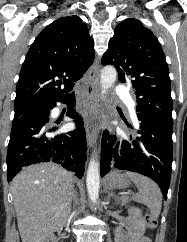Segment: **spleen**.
Masks as SVG:
<instances>
[{
    "label": "spleen",
    "mask_w": 187,
    "mask_h": 242,
    "mask_svg": "<svg viewBox=\"0 0 187 242\" xmlns=\"http://www.w3.org/2000/svg\"><path fill=\"white\" fill-rule=\"evenodd\" d=\"M125 174L138 188L139 193L134 196V200L145 204L150 209L153 218L157 219L162 207V194L158 185L150 178L141 174L133 172Z\"/></svg>",
    "instance_id": "spleen-1"
}]
</instances>
